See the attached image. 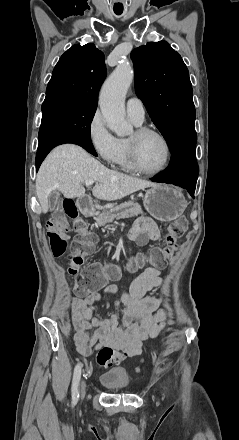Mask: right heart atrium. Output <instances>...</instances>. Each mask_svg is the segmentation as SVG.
Here are the masks:
<instances>
[{
    "mask_svg": "<svg viewBox=\"0 0 239 440\" xmlns=\"http://www.w3.org/2000/svg\"><path fill=\"white\" fill-rule=\"evenodd\" d=\"M87 136L96 154L106 164H117L122 151L121 140L109 131L99 110L94 112L88 123Z\"/></svg>",
    "mask_w": 239,
    "mask_h": 440,
    "instance_id": "right-heart-atrium-1",
    "label": "right heart atrium"
}]
</instances>
